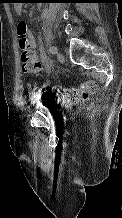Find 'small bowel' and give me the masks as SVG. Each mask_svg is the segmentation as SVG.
Instances as JSON below:
<instances>
[{
    "instance_id": "small-bowel-1",
    "label": "small bowel",
    "mask_w": 122,
    "mask_h": 218,
    "mask_svg": "<svg viewBox=\"0 0 122 218\" xmlns=\"http://www.w3.org/2000/svg\"><path fill=\"white\" fill-rule=\"evenodd\" d=\"M17 10L19 12H21V7H17ZM47 15H48V10L45 9L43 11V17H46ZM30 43H31L32 50H35V40L33 39V37H31V42ZM35 57H36V60H37V63H38V69L41 68V66H44L47 70H49L50 67L52 66V61L47 56H45L44 54L35 53Z\"/></svg>"
}]
</instances>
